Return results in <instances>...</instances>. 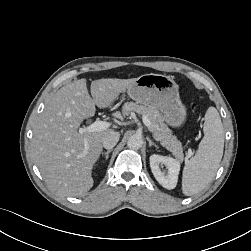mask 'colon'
<instances>
[{
	"label": "colon",
	"instance_id": "1",
	"mask_svg": "<svg viewBox=\"0 0 251 251\" xmlns=\"http://www.w3.org/2000/svg\"><path fill=\"white\" fill-rule=\"evenodd\" d=\"M195 108H196V105L194 104V105H193V109H195Z\"/></svg>",
	"mask_w": 251,
	"mask_h": 251
}]
</instances>
